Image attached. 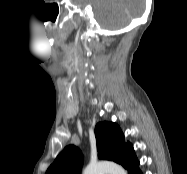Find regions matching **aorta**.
Returning <instances> with one entry per match:
<instances>
[{"label": "aorta", "instance_id": "1", "mask_svg": "<svg viewBox=\"0 0 187 174\" xmlns=\"http://www.w3.org/2000/svg\"><path fill=\"white\" fill-rule=\"evenodd\" d=\"M82 174H127L123 167L120 165L104 161L99 163L89 164Z\"/></svg>", "mask_w": 187, "mask_h": 174}]
</instances>
